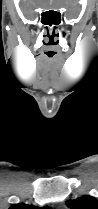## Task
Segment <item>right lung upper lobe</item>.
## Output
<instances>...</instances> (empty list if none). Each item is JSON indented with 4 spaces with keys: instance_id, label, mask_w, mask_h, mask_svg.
Listing matches in <instances>:
<instances>
[{
    "instance_id": "1",
    "label": "right lung upper lobe",
    "mask_w": 98,
    "mask_h": 209,
    "mask_svg": "<svg viewBox=\"0 0 98 209\" xmlns=\"http://www.w3.org/2000/svg\"><path fill=\"white\" fill-rule=\"evenodd\" d=\"M9 209H51V208L48 207V206L36 207V206H33V205H26V204L20 203V204L12 205Z\"/></svg>"
}]
</instances>
